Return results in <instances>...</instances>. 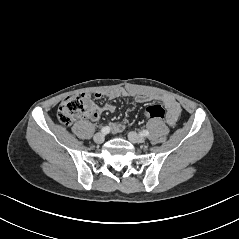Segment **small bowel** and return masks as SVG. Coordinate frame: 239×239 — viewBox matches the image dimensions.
Wrapping results in <instances>:
<instances>
[{
    "label": "small bowel",
    "instance_id": "c3829d8e",
    "mask_svg": "<svg viewBox=\"0 0 239 239\" xmlns=\"http://www.w3.org/2000/svg\"><path fill=\"white\" fill-rule=\"evenodd\" d=\"M95 98L99 99L103 96H107L110 99H115L118 97H125V98H134L139 103H145L151 100H157L164 104L167 108L166 113V122L169 126L173 127L176 125L178 118L181 113V108L178 102L166 95H132L131 93L123 90H111L105 93H96L94 94ZM115 105L111 103H106L96 107V110L90 118L92 120H97L102 112H110L113 113L115 111ZM125 126L122 122H115L111 124V130L113 133H120L124 130Z\"/></svg>",
    "mask_w": 239,
    "mask_h": 239
}]
</instances>
